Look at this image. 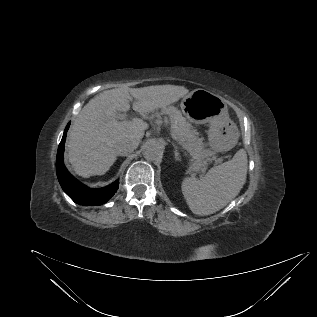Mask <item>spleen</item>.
<instances>
[{"instance_id":"spleen-1","label":"spleen","mask_w":317,"mask_h":317,"mask_svg":"<svg viewBox=\"0 0 317 317\" xmlns=\"http://www.w3.org/2000/svg\"><path fill=\"white\" fill-rule=\"evenodd\" d=\"M247 175V154L240 149L230 161L211 168L197 179L187 177L182 193L190 210L201 216L213 214L225 207L242 189Z\"/></svg>"}]
</instances>
